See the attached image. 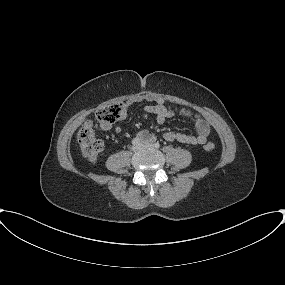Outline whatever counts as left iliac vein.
I'll use <instances>...</instances> for the list:
<instances>
[{"instance_id": "left-iliac-vein-1", "label": "left iliac vein", "mask_w": 285, "mask_h": 285, "mask_svg": "<svg viewBox=\"0 0 285 285\" xmlns=\"http://www.w3.org/2000/svg\"><path fill=\"white\" fill-rule=\"evenodd\" d=\"M142 146L143 147H154V145L152 143H150L149 141H143Z\"/></svg>"}]
</instances>
